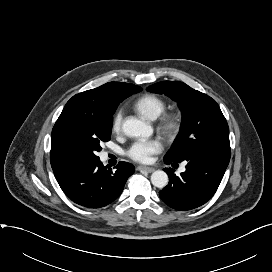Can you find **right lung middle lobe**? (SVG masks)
Here are the masks:
<instances>
[{
  "instance_id": "dd1d6c3e",
  "label": "right lung middle lobe",
  "mask_w": 272,
  "mask_h": 272,
  "mask_svg": "<svg viewBox=\"0 0 272 272\" xmlns=\"http://www.w3.org/2000/svg\"><path fill=\"white\" fill-rule=\"evenodd\" d=\"M112 116L83 115L65 120L53 130L52 141L62 157L72 164L97 160V152L102 150L100 144L111 138Z\"/></svg>"
}]
</instances>
